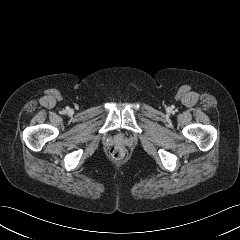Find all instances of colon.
<instances>
[{"instance_id": "colon-1", "label": "colon", "mask_w": 240, "mask_h": 240, "mask_svg": "<svg viewBox=\"0 0 240 240\" xmlns=\"http://www.w3.org/2000/svg\"><path fill=\"white\" fill-rule=\"evenodd\" d=\"M110 156L113 160L121 161L126 157V150L122 146H114L110 150Z\"/></svg>"}]
</instances>
